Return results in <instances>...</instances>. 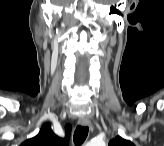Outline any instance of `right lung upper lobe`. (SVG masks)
I'll use <instances>...</instances> for the list:
<instances>
[{"mask_svg":"<svg viewBox=\"0 0 164 146\" xmlns=\"http://www.w3.org/2000/svg\"><path fill=\"white\" fill-rule=\"evenodd\" d=\"M67 136L66 138H60L56 136L49 123H45L38 135L35 137L26 140L22 143V146H67L68 145V135L70 131V127L66 126Z\"/></svg>","mask_w":164,"mask_h":146,"instance_id":"cb5924a9","label":"right lung upper lobe"}]
</instances>
